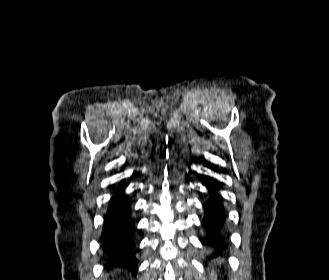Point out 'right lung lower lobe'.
Here are the masks:
<instances>
[{
	"label": "right lung lower lobe",
	"instance_id": "98d812e1",
	"mask_svg": "<svg viewBox=\"0 0 329 280\" xmlns=\"http://www.w3.org/2000/svg\"><path fill=\"white\" fill-rule=\"evenodd\" d=\"M110 203L102 233L103 250L108 260L106 266H123L136 273L137 260L133 256L132 240L134 226L129 218L130 204L123 195L118 194L111 198Z\"/></svg>",
	"mask_w": 329,
	"mask_h": 280
}]
</instances>
